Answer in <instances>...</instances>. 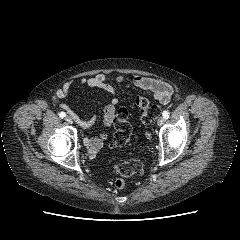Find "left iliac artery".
Returning a JSON list of instances; mask_svg holds the SVG:
<instances>
[{"mask_svg":"<svg viewBox=\"0 0 240 240\" xmlns=\"http://www.w3.org/2000/svg\"><path fill=\"white\" fill-rule=\"evenodd\" d=\"M162 115H163L164 119H168L169 118V111H167V110L163 111Z\"/></svg>","mask_w":240,"mask_h":240,"instance_id":"44dca946","label":"left iliac artery"}]
</instances>
